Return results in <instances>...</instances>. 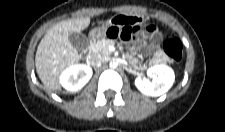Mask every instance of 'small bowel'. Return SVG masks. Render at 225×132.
<instances>
[{
	"label": "small bowel",
	"instance_id": "1",
	"mask_svg": "<svg viewBox=\"0 0 225 132\" xmlns=\"http://www.w3.org/2000/svg\"><path fill=\"white\" fill-rule=\"evenodd\" d=\"M116 26H145L147 32L151 34L152 41L150 44L145 43L140 35L130 48L128 59L135 69L142 70L144 68L139 59L135 56V53H150L152 55L151 63L153 65H160L169 60L164 50L159 46V41L161 39L160 33L144 19L135 16H121Z\"/></svg>",
	"mask_w": 225,
	"mask_h": 132
}]
</instances>
